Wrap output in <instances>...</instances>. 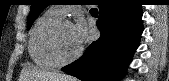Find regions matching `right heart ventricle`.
Listing matches in <instances>:
<instances>
[{
    "instance_id": "1",
    "label": "right heart ventricle",
    "mask_w": 169,
    "mask_h": 81,
    "mask_svg": "<svg viewBox=\"0 0 169 81\" xmlns=\"http://www.w3.org/2000/svg\"><path fill=\"white\" fill-rule=\"evenodd\" d=\"M53 9L44 12L34 23L28 42V52L32 61L42 68H55L57 63L49 53V36L53 27L62 20Z\"/></svg>"
}]
</instances>
